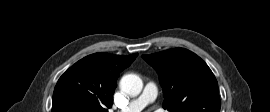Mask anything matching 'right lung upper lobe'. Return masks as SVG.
I'll list each match as a JSON object with an SVG mask.
<instances>
[{"mask_svg":"<svg viewBox=\"0 0 270 112\" xmlns=\"http://www.w3.org/2000/svg\"><path fill=\"white\" fill-rule=\"evenodd\" d=\"M138 54L95 53L84 57L59 78L53 93L52 112H108L119 73Z\"/></svg>","mask_w":270,"mask_h":112,"instance_id":"right-lung-upper-lobe-1","label":"right lung upper lobe"}]
</instances>
